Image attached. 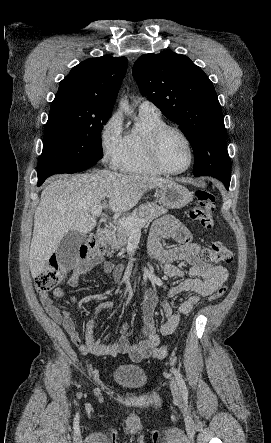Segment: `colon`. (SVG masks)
I'll return each mask as SVG.
<instances>
[{"instance_id":"obj_1","label":"colon","mask_w":271,"mask_h":443,"mask_svg":"<svg viewBox=\"0 0 271 443\" xmlns=\"http://www.w3.org/2000/svg\"><path fill=\"white\" fill-rule=\"evenodd\" d=\"M196 206L189 212L192 221L199 223L204 228H211L214 225L215 196L209 188L203 187L196 191ZM108 250L103 241L92 239L83 244L78 252L81 260L98 262ZM232 253L221 242H213L204 252V258L216 265L228 263L232 260ZM67 270L61 265L56 257H52L47 266L35 279V288L37 292L48 293L59 285L64 279ZM227 291L226 286L219 287L211 296V301L220 299ZM169 346L155 348L152 356L155 359H163L169 353Z\"/></svg>"}]
</instances>
